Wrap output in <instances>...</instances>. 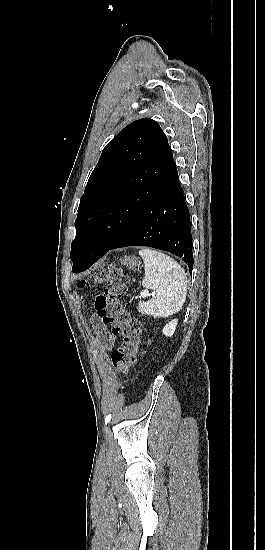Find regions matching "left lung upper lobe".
<instances>
[{
    "mask_svg": "<svg viewBox=\"0 0 265 550\" xmlns=\"http://www.w3.org/2000/svg\"><path fill=\"white\" fill-rule=\"evenodd\" d=\"M177 176L166 135L149 118L122 129L103 149L80 200L72 270L109 249Z\"/></svg>",
    "mask_w": 265,
    "mask_h": 550,
    "instance_id": "left-lung-upper-lobe-1",
    "label": "left lung upper lobe"
}]
</instances>
